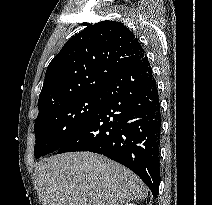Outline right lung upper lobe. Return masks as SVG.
<instances>
[{"instance_id":"right-lung-upper-lobe-1","label":"right lung upper lobe","mask_w":212,"mask_h":205,"mask_svg":"<svg viewBox=\"0 0 212 205\" xmlns=\"http://www.w3.org/2000/svg\"><path fill=\"white\" fill-rule=\"evenodd\" d=\"M145 57L124 24L102 21L72 37L47 67L38 116L73 98L100 92L123 70Z\"/></svg>"}]
</instances>
